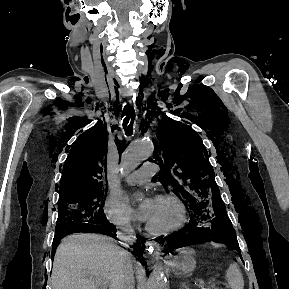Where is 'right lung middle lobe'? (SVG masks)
<instances>
[{"label": "right lung middle lobe", "mask_w": 289, "mask_h": 289, "mask_svg": "<svg viewBox=\"0 0 289 289\" xmlns=\"http://www.w3.org/2000/svg\"><path fill=\"white\" fill-rule=\"evenodd\" d=\"M107 187L60 197L56 236H66L80 224L105 219L103 206Z\"/></svg>", "instance_id": "1"}]
</instances>
